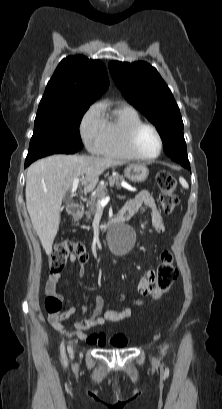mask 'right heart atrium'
Masks as SVG:
<instances>
[{"label": "right heart atrium", "instance_id": "d8ad5b80", "mask_svg": "<svg viewBox=\"0 0 222 409\" xmlns=\"http://www.w3.org/2000/svg\"><path fill=\"white\" fill-rule=\"evenodd\" d=\"M104 117L101 105H91L83 114L79 131L86 148L92 153H98L104 135Z\"/></svg>", "mask_w": 222, "mask_h": 409}]
</instances>
